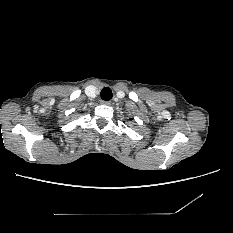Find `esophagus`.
Here are the masks:
<instances>
[{
    "label": "esophagus",
    "mask_w": 233,
    "mask_h": 233,
    "mask_svg": "<svg viewBox=\"0 0 233 233\" xmlns=\"http://www.w3.org/2000/svg\"><path fill=\"white\" fill-rule=\"evenodd\" d=\"M101 104H103V105H111V101H104V100H102Z\"/></svg>",
    "instance_id": "1"
}]
</instances>
